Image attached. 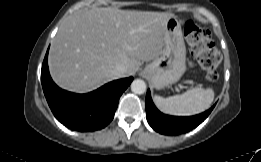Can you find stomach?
<instances>
[{"mask_svg": "<svg viewBox=\"0 0 261 162\" xmlns=\"http://www.w3.org/2000/svg\"><path fill=\"white\" fill-rule=\"evenodd\" d=\"M181 23L176 16L168 19L164 48L160 56L147 65L142 72L156 89L176 83L186 71V47Z\"/></svg>", "mask_w": 261, "mask_h": 162, "instance_id": "1", "label": "stomach"}]
</instances>
